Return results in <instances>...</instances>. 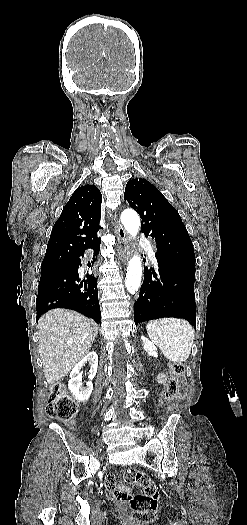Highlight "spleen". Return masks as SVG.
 <instances>
[{"label": "spleen", "mask_w": 247, "mask_h": 525, "mask_svg": "<svg viewBox=\"0 0 247 525\" xmlns=\"http://www.w3.org/2000/svg\"><path fill=\"white\" fill-rule=\"evenodd\" d=\"M146 331L149 339L172 363H184L189 359L195 331L185 319H155L148 323Z\"/></svg>", "instance_id": "spleen-1"}]
</instances>
